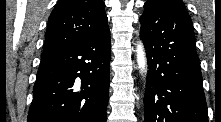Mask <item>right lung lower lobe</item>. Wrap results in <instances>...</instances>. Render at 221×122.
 Returning a JSON list of instances; mask_svg holds the SVG:
<instances>
[{
  "label": "right lung lower lobe",
  "instance_id": "right-lung-lower-lobe-1",
  "mask_svg": "<svg viewBox=\"0 0 221 122\" xmlns=\"http://www.w3.org/2000/svg\"><path fill=\"white\" fill-rule=\"evenodd\" d=\"M109 28L41 59L27 122H106Z\"/></svg>",
  "mask_w": 221,
  "mask_h": 122
}]
</instances>
